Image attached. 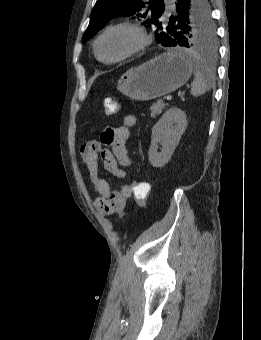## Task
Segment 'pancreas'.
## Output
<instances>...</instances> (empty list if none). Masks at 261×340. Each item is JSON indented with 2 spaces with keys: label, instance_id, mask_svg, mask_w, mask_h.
<instances>
[{
  "label": "pancreas",
  "instance_id": "1",
  "mask_svg": "<svg viewBox=\"0 0 261 340\" xmlns=\"http://www.w3.org/2000/svg\"><path fill=\"white\" fill-rule=\"evenodd\" d=\"M164 108L165 104L161 100H158L156 103H153L152 106L150 107L151 117L154 118L156 117V115L161 114Z\"/></svg>",
  "mask_w": 261,
  "mask_h": 340
}]
</instances>
